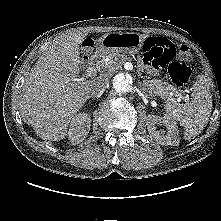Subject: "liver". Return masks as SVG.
<instances>
[{
	"instance_id": "obj_1",
	"label": "liver",
	"mask_w": 221,
	"mask_h": 221,
	"mask_svg": "<svg viewBox=\"0 0 221 221\" xmlns=\"http://www.w3.org/2000/svg\"><path fill=\"white\" fill-rule=\"evenodd\" d=\"M86 36L76 31L54 39L24 83L21 115L43 139H63L89 98L93 81L79 78L80 44Z\"/></svg>"
}]
</instances>
